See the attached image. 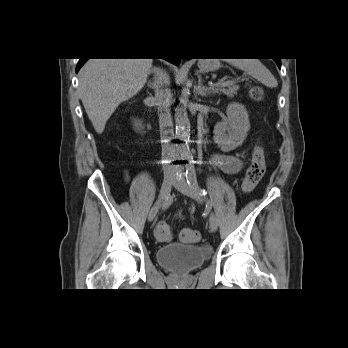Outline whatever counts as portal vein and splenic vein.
Listing matches in <instances>:
<instances>
[{"instance_id": "obj_1", "label": "portal vein and splenic vein", "mask_w": 348, "mask_h": 348, "mask_svg": "<svg viewBox=\"0 0 348 348\" xmlns=\"http://www.w3.org/2000/svg\"><path fill=\"white\" fill-rule=\"evenodd\" d=\"M233 81L232 80H227V81H219L216 83H211L210 85L213 87H224V86H228L229 84H231Z\"/></svg>"}]
</instances>
